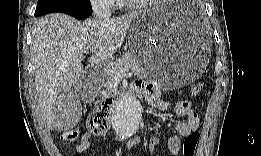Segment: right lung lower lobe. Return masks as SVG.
Here are the masks:
<instances>
[{
  "label": "right lung lower lobe",
  "mask_w": 261,
  "mask_h": 156,
  "mask_svg": "<svg viewBox=\"0 0 261 156\" xmlns=\"http://www.w3.org/2000/svg\"><path fill=\"white\" fill-rule=\"evenodd\" d=\"M92 13V9H86V8H79L74 11H71L70 13H67L71 16H74L79 19H85L89 17Z\"/></svg>",
  "instance_id": "1"
}]
</instances>
